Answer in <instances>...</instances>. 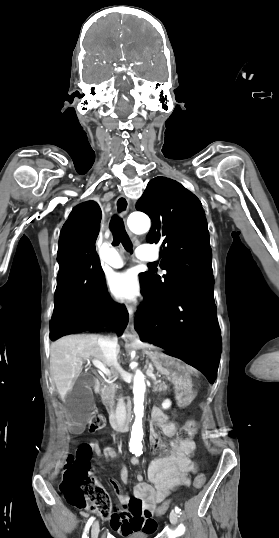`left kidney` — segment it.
<instances>
[{"label":"left kidney","mask_w":279,"mask_h":538,"mask_svg":"<svg viewBox=\"0 0 279 538\" xmlns=\"http://www.w3.org/2000/svg\"><path fill=\"white\" fill-rule=\"evenodd\" d=\"M170 406H171L170 400H164V402L162 404V408H164V410H168V408H170Z\"/></svg>","instance_id":"1"}]
</instances>
